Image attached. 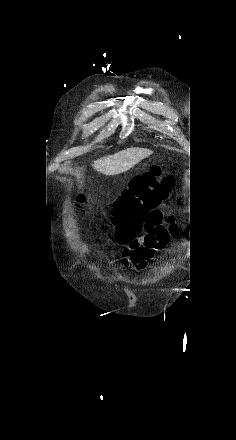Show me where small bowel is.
Returning a JSON list of instances; mask_svg holds the SVG:
<instances>
[{"label":"small bowel","instance_id":"obj_1","mask_svg":"<svg viewBox=\"0 0 236 440\" xmlns=\"http://www.w3.org/2000/svg\"><path fill=\"white\" fill-rule=\"evenodd\" d=\"M145 234L133 237L121 249V258L124 263H133L143 266L145 261L164 249L170 240L176 239L180 228L172 215L164 216L158 208L151 210L143 222Z\"/></svg>","mask_w":236,"mask_h":440}]
</instances>
